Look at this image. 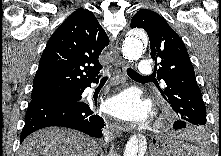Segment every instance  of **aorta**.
Instances as JSON below:
<instances>
[{
	"mask_svg": "<svg viewBox=\"0 0 221 156\" xmlns=\"http://www.w3.org/2000/svg\"><path fill=\"white\" fill-rule=\"evenodd\" d=\"M146 43L147 35L144 31L138 29L130 30L122 45L124 58L129 62L139 59L144 52ZM146 148V140L134 135L127 142L123 156H144Z\"/></svg>",
	"mask_w": 221,
	"mask_h": 156,
	"instance_id": "762f6f07",
	"label": "aorta"
}]
</instances>
